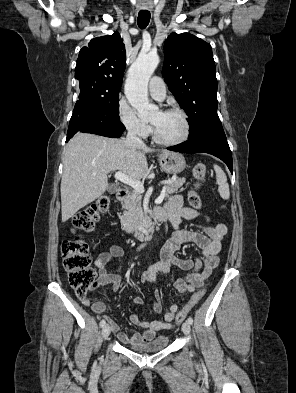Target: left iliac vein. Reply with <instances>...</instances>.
Instances as JSON below:
<instances>
[{
  "label": "left iliac vein",
  "instance_id": "4c4485c4",
  "mask_svg": "<svg viewBox=\"0 0 296 393\" xmlns=\"http://www.w3.org/2000/svg\"><path fill=\"white\" fill-rule=\"evenodd\" d=\"M190 324L188 323V321L184 322L182 325V331L184 334H189L190 333Z\"/></svg>",
  "mask_w": 296,
  "mask_h": 393
}]
</instances>
